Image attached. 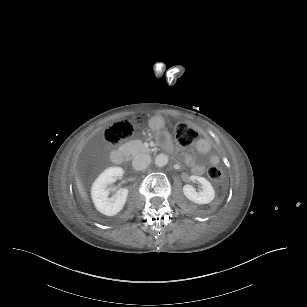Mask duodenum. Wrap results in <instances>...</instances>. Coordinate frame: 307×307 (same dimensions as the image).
<instances>
[{"instance_id": "1", "label": "duodenum", "mask_w": 307, "mask_h": 307, "mask_svg": "<svg viewBox=\"0 0 307 307\" xmlns=\"http://www.w3.org/2000/svg\"><path fill=\"white\" fill-rule=\"evenodd\" d=\"M127 157V152L125 149H115L111 154L112 162L116 165H122Z\"/></svg>"}]
</instances>
